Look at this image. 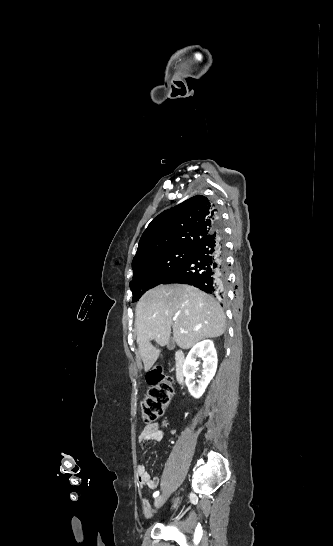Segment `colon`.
Segmentation results:
<instances>
[{
    "instance_id": "colon-1",
    "label": "colon",
    "mask_w": 333,
    "mask_h": 546,
    "mask_svg": "<svg viewBox=\"0 0 333 546\" xmlns=\"http://www.w3.org/2000/svg\"><path fill=\"white\" fill-rule=\"evenodd\" d=\"M147 382L150 388L141 403V412L144 423L150 426L163 416L173 397L174 389L171 377L166 375L161 367L147 373Z\"/></svg>"
}]
</instances>
